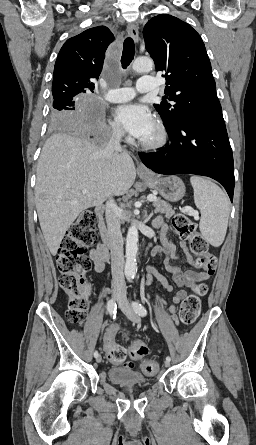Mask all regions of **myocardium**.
Masks as SVG:
<instances>
[{
  "instance_id": "f54148a6",
  "label": "myocardium",
  "mask_w": 256,
  "mask_h": 445,
  "mask_svg": "<svg viewBox=\"0 0 256 445\" xmlns=\"http://www.w3.org/2000/svg\"><path fill=\"white\" fill-rule=\"evenodd\" d=\"M155 136L151 140H141L140 145L146 150H157L162 148L168 139V133L165 126L161 122H156L154 125Z\"/></svg>"
}]
</instances>
